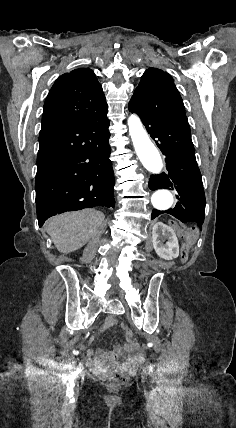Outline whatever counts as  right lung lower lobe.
Masks as SVG:
<instances>
[{
	"label": "right lung lower lobe",
	"mask_w": 236,
	"mask_h": 428,
	"mask_svg": "<svg viewBox=\"0 0 236 428\" xmlns=\"http://www.w3.org/2000/svg\"><path fill=\"white\" fill-rule=\"evenodd\" d=\"M106 115L40 133L35 181L40 227L63 212L115 207Z\"/></svg>",
	"instance_id": "obj_1"
}]
</instances>
